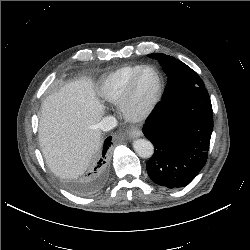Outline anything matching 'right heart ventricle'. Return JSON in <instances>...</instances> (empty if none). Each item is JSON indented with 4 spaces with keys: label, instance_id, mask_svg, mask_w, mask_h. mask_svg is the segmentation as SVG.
Here are the masks:
<instances>
[{
    "label": "right heart ventricle",
    "instance_id": "1",
    "mask_svg": "<svg viewBox=\"0 0 250 250\" xmlns=\"http://www.w3.org/2000/svg\"><path fill=\"white\" fill-rule=\"evenodd\" d=\"M144 65H127L105 75L98 87L101 100L116 104L125 93L130 81Z\"/></svg>",
    "mask_w": 250,
    "mask_h": 250
}]
</instances>
